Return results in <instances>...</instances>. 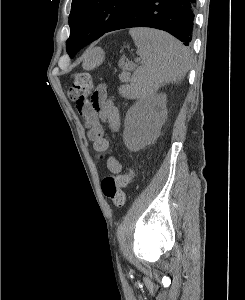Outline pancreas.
I'll return each instance as SVG.
<instances>
[{
  "mask_svg": "<svg viewBox=\"0 0 245 300\" xmlns=\"http://www.w3.org/2000/svg\"><path fill=\"white\" fill-rule=\"evenodd\" d=\"M120 80L121 82H128L130 80V74L127 71H123L120 75Z\"/></svg>",
  "mask_w": 245,
  "mask_h": 300,
  "instance_id": "cf45deb5",
  "label": "pancreas"
}]
</instances>
